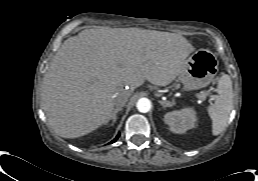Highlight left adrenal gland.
<instances>
[{
    "instance_id": "obj_1",
    "label": "left adrenal gland",
    "mask_w": 258,
    "mask_h": 181,
    "mask_svg": "<svg viewBox=\"0 0 258 181\" xmlns=\"http://www.w3.org/2000/svg\"><path fill=\"white\" fill-rule=\"evenodd\" d=\"M158 102L163 106V108L171 107V106L174 105L173 101L170 102V101H161V100H159Z\"/></svg>"
}]
</instances>
